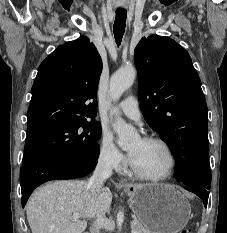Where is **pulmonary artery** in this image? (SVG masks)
Returning <instances> with one entry per match:
<instances>
[{
	"label": "pulmonary artery",
	"instance_id": "pulmonary-artery-1",
	"mask_svg": "<svg viewBox=\"0 0 227 233\" xmlns=\"http://www.w3.org/2000/svg\"><path fill=\"white\" fill-rule=\"evenodd\" d=\"M120 110L130 119L140 122L141 112L138 106V101L134 96H128L119 104Z\"/></svg>",
	"mask_w": 227,
	"mask_h": 233
}]
</instances>
